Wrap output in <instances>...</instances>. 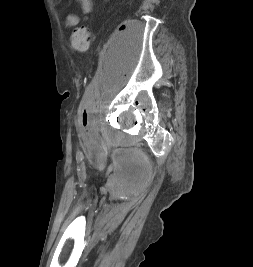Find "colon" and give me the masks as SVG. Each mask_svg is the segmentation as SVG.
<instances>
[{
	"mask_svg": "<svg viewBox=\"0 0 253 267\" xmlns=\"http://www.w3.org/2000/svg\"><path fill=\"white\" fill-rule=\"evenodd\" d=\"M72 45L73 48L80 53H84L88 50L90 45V32L86 25L74 28L72 34Z\"/></svg>",
	"mask_w": 253,
	"mask_h": 267,
	"instance_id": "5ec220e1",
	"label": "colon"
}]
</instances>
